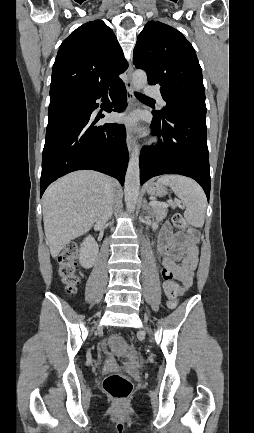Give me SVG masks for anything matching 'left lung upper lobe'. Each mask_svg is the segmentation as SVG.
<instances>
[{
  "label": "left lung upper lobe",
  "instance_id": "obj_1",
  "mask_svg": "<svg viewBox=\"0 0 254 433\" xmlns=\"http://www.w3.org/2000/svg\"><path fill=\"white\" fill-rule=\"evenodd\" d=\"M136 68L147 73L150 85L159 84L167 105L159 116L181 108L206 113L202 70L190 42L173 27L148 22L133 51Z\"/></svg>",
  "mask_w": 254,
  "mask_h": 433
}]
</instances>
